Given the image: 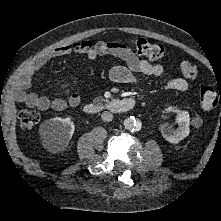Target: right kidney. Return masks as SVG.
Wrapping results in <instances>:
<instances>
[{
  "label": "right kidney",
  "mask_w": 221,
  "mask_h": 221,
  "mask_svg": "<svg viewBox=\"0 0 221 221\" xmlns=\"http://www.w3.org/2000/svg\"><path fill=\"white\" fill-rule=\"evenodd\" d=\"M75 125L70 118H51L40 126V135L44 146L53 152L61 151L67 147L73 136Z\"/></svg>",
  "instance_id": "obj_1"
}]
</instances>
